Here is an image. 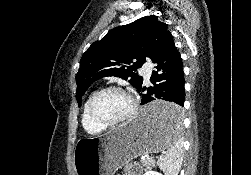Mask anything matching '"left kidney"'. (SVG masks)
Listing matches in <instances>:
<instances>
[{
  "label": "left kidney",
  "instance_id": "1",
  "mask_svg": "<svg viewBox=\"0 0 251 175\" xmlns=\"http://www.w3.org/2000/svg\"><path fill=\"white\" fill-rule=\"evenodd\" d=\"M144 175H163V173H159V171H152V169H147Z\"/></svg>",
  "mask_w": 251,
  "mask_h": 175
}]
</instances>
